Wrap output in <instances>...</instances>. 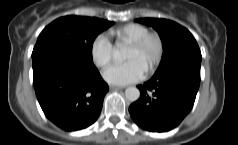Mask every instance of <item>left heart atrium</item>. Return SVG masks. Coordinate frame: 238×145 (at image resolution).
I'll list each match as a JSON object with an SVG mask.
<instances>
[{
    "mask_svg": "<svg viewBox=\"0 0 238 145\" xmlns=\"http://www.w3.org/2000/svg\"><path fill=\"white\" fill-rule=\"evenodd\" d=\"M145 69L136 60H128L109 66L103 72L104 79L115 85H126L142 78Z\"/></svg>",
    "mask_w": 238,
    "mask_h": 145,
    "instance_id": "1",
    "label": "left heart atrium"
}]
</instances>
